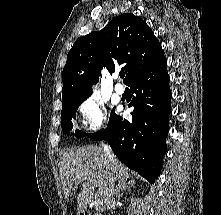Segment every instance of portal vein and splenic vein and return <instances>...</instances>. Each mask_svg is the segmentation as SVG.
<instances>
[{
	"label": "portal vein and splenic vein",
	"instance_id": "18ae733b",
	"mask_svg": "<svg viewBox=\"0 0 221 215\" xmlns=\"http://www.w3.org/2000/svg\"><path fill=\"white\" fill-rule=\"evenodd\" d=\"M102 205H103V200L100 199V198H98V199L95 201V204H94L95 208L98 209V208H100Z\"/></svg>",
	"mask_w": 221,
	"mask_h": 215
}]
</instances>
